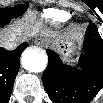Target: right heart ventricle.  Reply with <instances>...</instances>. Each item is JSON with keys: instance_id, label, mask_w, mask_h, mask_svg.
<instances>
[{"instance_id": "1", "label": "right heart ventricle", "mask_w": 103, "mask_h": 103, "mask_svg": "<svg viewBox=\"0 0 103 103\" xmlns=\"http://www.w3.org/2000/svg\"><path fill=\"white\" fill-rule=\"evenodd\" d=\"M42 18L53 24L66 22L70 18V14L66 11L57 9H47L42 13Z\"/></svg>"}]
</instances>
